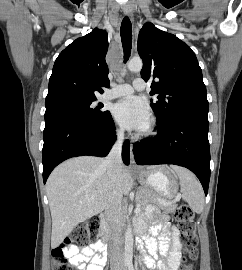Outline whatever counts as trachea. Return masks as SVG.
<instances>
[{
  "instance_id": "3493384b",
  "label": "trachea",
  "mask_w": 242,
  "mask_h": 270,
  "mask_svg": "<svg viewBox=\"0 0 242 270\" xmlns=\"http://www.w3.org/2000/svg\"><path fill=\"white\" fill-rule=\"evenodd\" d=\"M120 33L124 50V62H126L130 56L132 47V25L128 17H124Z\"/></svg>"
}]
</instances>
